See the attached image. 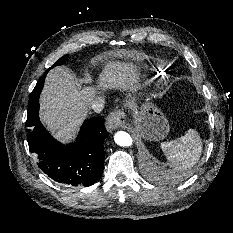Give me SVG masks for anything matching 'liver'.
I'll list each match as a JSON object with an SVG mask.
<instances>
[{"instance_id":"1","label":"liver","mask_w":233,"mask_h":233,"mask_svg":"<svg viewBox=\"0 0 233 233\" xmlns=\"http://www.w3.org/2000/svg\"><path fill=\"white\" fill-rule=\"evenodd\" d=\"M137 78L132 63L112 61L106 64L100 84L105 88L126 89ZM94 99V88L80 89L68 68L56 67L47 74L40 96L41 121L57 139L66 142L75 136Z\"/></svg>"}]
</instances>
